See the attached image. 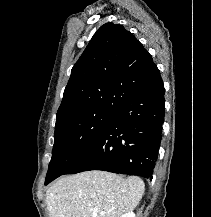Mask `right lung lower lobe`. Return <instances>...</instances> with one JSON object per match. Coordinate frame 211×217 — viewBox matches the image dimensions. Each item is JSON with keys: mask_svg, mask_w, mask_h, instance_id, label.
I'll list each match as a JSON object with an SVG mask.
<instances>
[{"mask_svg": "<svg viewBox=\"0 0 211 217\" xmlns=\"http://www.w3.org/2000/svg\"><path fill=\"white\" fill-rule=\"evenodd\" d=\"M163 122L164 85L160 79L126 101L99 139L64 174L103 170L152 180Z\"/></svg>", "mask_w": 211, "mask_h": 217, "instance_id": "right-lung-lower-lobe-1", "label": "right lung lower lobe"}]
</instances>
